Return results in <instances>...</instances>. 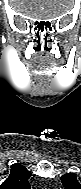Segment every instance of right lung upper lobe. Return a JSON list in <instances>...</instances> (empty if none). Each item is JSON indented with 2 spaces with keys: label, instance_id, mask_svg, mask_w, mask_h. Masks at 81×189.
I'll return each mask as SVG.
<instances>
[{
  "label": "right lung upper lobe",
  "instance_id": "cb5924a9",
  "mask_svg": "<svg viewBox=\"0 0 81 189\" xmlns=\"http://www.w3.org/2000/svg\"><path fill=\"white\" fill-rule=\"evenodd\" d=\"M31 172L28 171L21 164L11 165V173L9 177L0 185V189H30V185L27 182Z\"/></svg>",
  "mask_w": 81,
  "mask_h": 189
}]
</instances>
